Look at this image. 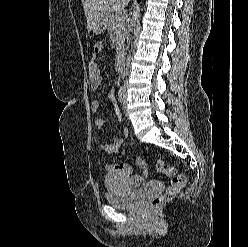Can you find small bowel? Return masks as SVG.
Masks as SVG:
<instances>
[{
    "label": "small bowel",
    "mask_w": 248,
    "mask_h": 247,
    "mask_svg": "<svg viewBox=\"0 0 248 247\" xmlns=\"http://www.w3.org/2000/svg\"><path fill=\"white\" fill-rule=\"evenodd\" d=\"M102 50V49H101ZM101 50H94L92 56L88 63V72L90 78V85L92 90L96 91L102 83V75L99 66V58L101 55ZM100 108V101L93 100L90 105V109L93 113H96ZM118 118L121 119V116L118 115ZM105 120L102 117H96L94 119V125L97 129H101L104 126ZM128 134L127 129L124 130V135ZM123 144V139H113L111 142L103 143L102 149L109 154L117 152ZM108 172L111 171H120L124 173L128 178V183L130 186L135 187L140 185L144 181V176L142 175H132V167L128 163L107 165L106 167Z\"/></svg>",
    "instance_id": "1"
}]
</instances>
